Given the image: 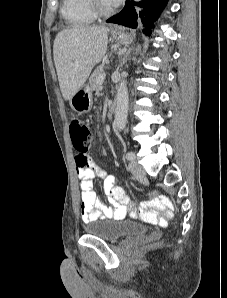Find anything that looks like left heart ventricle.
<instances>
[{
    "mask_svg": "<svg viewBox=\"0 0 227 298\" xmlns=\"http://www.w3.org/2000/svg\"><path fill=\"white\" fill-rule=\"evenodd\" d=\"M99 1V3H100V5H102L103 7H110V6H108L107 5V3L105 2V0H98Z\"/></svg>",
    "mask_w": 227,
    "mask_h": 298,
    "instance_id": "left-heart-ventricle-1",
    "label": "left heart ventricle"
}]
</instances>
